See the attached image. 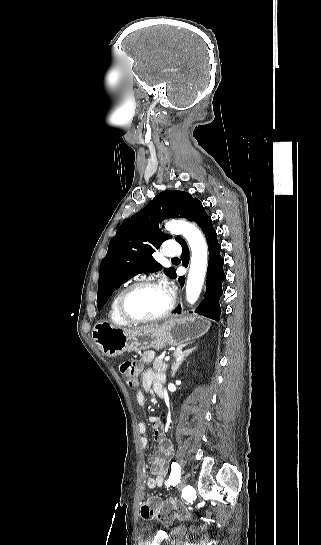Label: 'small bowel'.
Returning a JSON list of instances; mask_svg holds the SVG:
<instances>
[{
    "label": "small bowel",
    "mask_w": 321,
    "mask_h": 545,
    "mask_svg": "<svg viewBox=\"0 0 321 545\" xmlns=\"http://www.w3.org/2000/svg\"><path fill=\"white\" fill-rule=\"evenodd\" d=\"M164 376L160 373L148 370L142 377L143 391L147 392L151 388L160 396L164 395L163 389ZM136 402L138 405L143 406L145 404V396L143 392H138L136 395ZM153 424L154 438L158 442L157 451L152 455L150 459V472L151 477L147 480V487L154 489L162 487L167 474V463L172 456L173 447L169 440L164 437L160 425L154 418L150 419ZM146 425L144 423L138 424V431L142 435L140 443L142 448L148 446V438L146 437Z\"/></svg>",
    "instance_id": "1"
}]
</instances>
